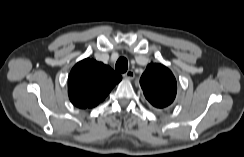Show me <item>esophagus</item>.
Listing matches in <instances>:
<instances>
[{"label":"esophagus","instance_id":"esophagus-1","mask_svg":"<svg viewBox=\"0 0 244 157\" xmlns=\"http://www.w3.org/2000/svg\"><path fill=\"white\" fill-rule=\"evenodd\" d=\"M123 77L127 80H132L135 77V73L133 70H128L123 74Z\"/></svg>","mask_w":244,"mask_h":157}]
</instances>
